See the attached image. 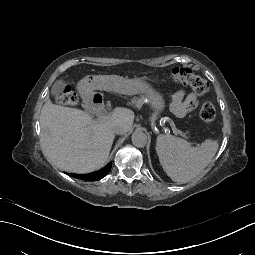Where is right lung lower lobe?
<instances>
[{
    "label": "right lung lower lobe",
    "instance_id": "1",
    "mask_svg": "<svg viewBox=\"0 0 255 255\" xmlns=\"http://www.w3.org/2000/svg\"><path fill=\"white\" fill-rule=\"evenodd\" d=\"M70 176H72L71 174H69ZM104 176H106V175H104ZM104 176H101L100 178H98L97 180H100V179H102ZM72 177H74V176H72ZM74 178H76V177H74ZM78 179H80V178H78ZM81 180H83V179H81ZM97 180H87V181H97Z\"/></svg>",
    "mask_w": 255,
    "mask_h": 255
}]
</instances>
